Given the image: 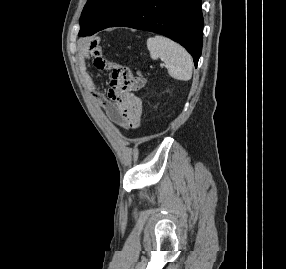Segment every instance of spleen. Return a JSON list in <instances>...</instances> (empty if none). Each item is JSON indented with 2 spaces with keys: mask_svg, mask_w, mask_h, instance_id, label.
Returning a JSON list of instances; mask_svg holds the SVG:
<instances>
[{
  "mask_svg": "<svg viewBox=\"0 0 286 269\" xmlns=\"http://www.w3.org/2000/svg\"><path fill=\"white\" fill-rule=\"evenodd\" d=\"M147 48L152 59L165 62L171 77L181 81L192 78L193 60L182 46L166 37L154 36L147 40Z\"/></svg>",
  "mask_w": 286,
  "mask_h": 269,
  "instance_id": "3e777b00",
  "label": "spleen"
}]
</instances>
